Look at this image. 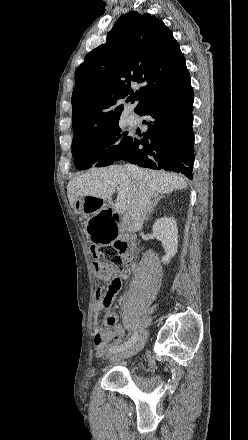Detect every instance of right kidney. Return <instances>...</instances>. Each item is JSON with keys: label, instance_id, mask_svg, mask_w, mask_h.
<instances>
[{"label": "right kidney", "instance_id": "obj_1", "mask_svg": "<svg viewBox=\"0 0 248 440\" xmlns=\"http://www.w3.org/2000/svg\"><path fill=\"white\" fill-rule=\"evenodd\" d=\"M153 234L162 242L166 253L162 257V262L168 264L178 248V228L175 219L168 217L157 219L153 225Z\"/></svg>", "mask_w": 248, "mask_h": 440}]
</instances>
